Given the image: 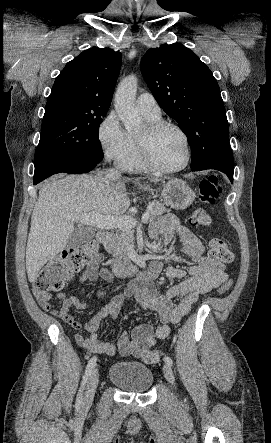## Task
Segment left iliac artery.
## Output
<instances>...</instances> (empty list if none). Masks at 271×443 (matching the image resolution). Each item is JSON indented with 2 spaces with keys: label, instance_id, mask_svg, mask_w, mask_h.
I'll use <instances>...</instances> for the list:
<instances>
[{
  "label": "left iliac artery",
  "instance_id": "obj_1",
  "mask_svg": "<svg viewBox=\"0 0 271 443\" xmlns=\"http://www.w3.org/2000/svg\"><path fill=\"white\" fill-rule=\"evenodd\" d=\"M164 361H165V363L168 364L170 367L173 366V360H172L170 357H168V356L164 357Z\"/></svg>",
  "mask_w": 271,
  "mask_h": 443
}]
</instances>
